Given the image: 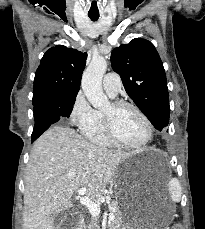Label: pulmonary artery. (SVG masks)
Wrapping results in <instances>:
<instances>
[{
    "instance_id": "1",
    "label": "pulmonary artery",
    "mask_w": 205,
    "mask_h": 229,
    "mask_svg": "<svg viewBox=\"0 0 205 229\" xmlns=\"http://www.w3.org/2000/svg\"><path fill=\"white\" fill-rule=\"evenodd\" d=\"M103 89L110 97H116L121 90V80L118 74L108 73L103 78Z\"/></svg>"
}]
</instances>
